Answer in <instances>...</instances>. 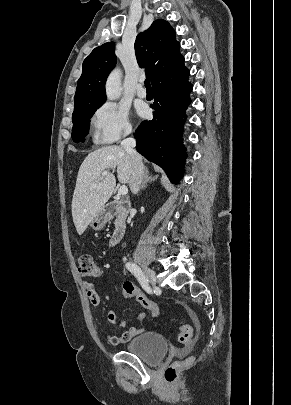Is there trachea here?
Listing matches in <instances>:
<instances>
[{"instance_id":"3493384b","label":"trachea","mask_w":291,"mask_h":405,"mask_svg":"<svg viewBox=\"0 0 291 405\" xmlns=\"http://www.w3.org/2000/svg\"><path fill=\"white\" fill-rule=\"evenodd\" d=\"M145 87H146L147 89H151V84H150L149 79H146V80H145Z\"/></svg>"}]
</instances>
